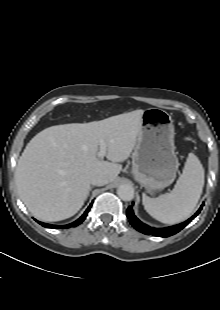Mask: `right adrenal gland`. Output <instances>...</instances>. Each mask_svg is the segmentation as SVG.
<instances>
[{"instance_id":"1","label":"right adrenal gland","mask_w":220,"mask_h":310,"mask_svg":"<svg viewBox=\"0 0 220 310\" xmlns=\"http://www.w3.org/2000/svg\"><path fill=\"white\" fill-rule=\"evenodd\" d=\"M91 190H92V188L89 189V192H90ZM89 192H88V195H89ZM88 195H87V196H88Z\"/></svg>"}]
</instances>
